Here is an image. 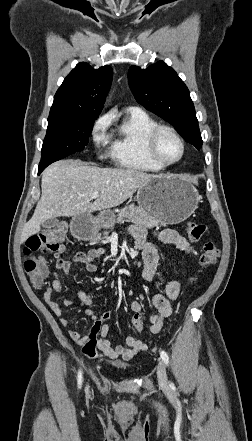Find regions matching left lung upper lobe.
Segmentation results:
<instances>
[{"label":"left lung upper lobe","instance_id":"5c2ea615","mask_svg":"<svg viewBox=\"0 0 252 441\" xmlns=\"http://www.w3.org/2000/svg\"><path fill=\"white\" fill-rule=\"evenodd\" d=\"M128 82L139 104L171 123L186 141L200 149L202 138L189 90L171 67L163 61L147 69L133 65Z\"/></svg>","mask_w":252,"mask_h":441}]
</instances>
